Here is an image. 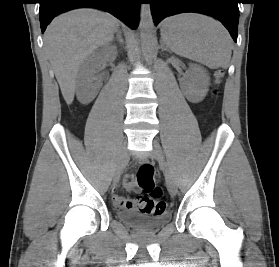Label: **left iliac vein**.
Segmentation results:
<instances>
[{
    "mask_svg": "<svg viewBox=\"0 0 279 267\" xmlns=\"http://www.w3.org/2000/svg\"><path fill=\"white\" fill-rule=\"evenodd\" d=\"M151 154H152V157L154 159H156L159 162V164L163 167L168 191L172 196H175L177 194L176 182L174 180V177H173L171 171L169 170V168L165 162L163 150H162L160 144L155 140L153 141V149H152Z\"/></svg>",
    "mask_w": 279,
    "mask_h": 267,
    "instance_id": "obj_1",
    "label": "left iliac vein"
}]
</instances>
